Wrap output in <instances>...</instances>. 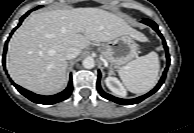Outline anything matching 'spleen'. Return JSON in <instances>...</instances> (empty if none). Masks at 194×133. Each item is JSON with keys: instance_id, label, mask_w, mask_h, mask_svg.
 I'll return each instance as SVG.
<instances>
[{"instance_id": "1", "label": "spleen", "mask_w": 194, "mask_h": 133, "mask_svg": "<svg viewBox=\"0 0 194 133\" xmlns=\"http://www.w3.org/2000/svg\"><path fill=\"white\" fill-rule=\"evenodd\" d=\"M160 69L159 58L152 51L137 57L119 70L124 86L132 93L142 94L151 90L158 79Z\"/></svg>"}]
</instances>
